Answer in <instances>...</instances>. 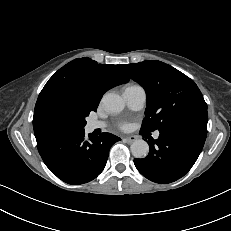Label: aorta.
Masks as SVG:
<instances>
[{"mask_svg": "<svg viewBox=\"0 0 231 231\" xmlns=\"http://www.w3.org/2000/svg\"><path fill=\"white\" fill-rule=\"evenodd\" d=\"M105 109L110 113H119L124 109L123 98L116 93H107L102 99ZM131 153L135 158H145L149 153V145L142 139L135 140L131 144Z\"/></svg>", "mask_w": 231, "mask_h": 231, "instance_id": "obj_1", "label": "aorta"}]
</instances>
